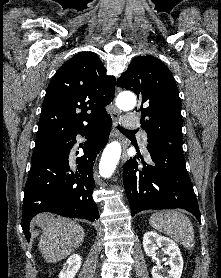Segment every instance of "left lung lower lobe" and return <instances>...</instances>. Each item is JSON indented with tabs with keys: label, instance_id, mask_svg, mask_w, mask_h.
<instances>
[{
	"label": "left lung lower lobe",
	"instance_id": "0a47b994",
	"mask_svg": "<svg viewBox=\"0 0 221 278\" xmlns=\"http://www.w3.org/2000/svg\"><path fill=\"white\" fill-rule=\"evenodd\" d=\"M152 163L138 169L130 159L124 165L123 182L132 216L148 209L182 208L200 222V211L185 166L182 144L168 141L149 143Z\"/></svg>",
	"mask_w": 221,
	"mask_h": 278
}]
</instances>
